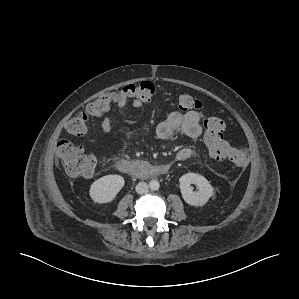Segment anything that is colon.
<instances>
[{"label":"colon","instance_id":"5ec220e1","mask_svg":"<svg viewBox=\"0 0 299 299\" xmlns=\"http://www.w3.org/2000/svg\"><path fill=\"white\" fill-rule=\"evenodd\" d=\"M123 91L131 98L142 103L148 102L155 94V86L150 81L130 84ZM179 108L184 111H196L202 108L199 98L190 92H181L178 97ZM110 101L106 95L90 102L83 112L76 114L66 124V130L73 136H83L87 132L90 117L102 116L109 111ZM204 141L211 157L216 160L230 159L236 166L245 167L249 156L245 150L232 147L224 138L225 123L216 116L204 121ZM57 155L65 172L70 176H92L97 169V160L87 155L82 146L69 140L57 144Z\"/></svg>","mask_w":299,"mask_h":299}]
</instances>
